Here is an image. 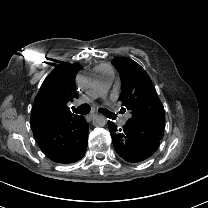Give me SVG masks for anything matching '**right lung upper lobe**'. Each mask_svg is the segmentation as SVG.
<instances>
[{
  "label": "right lung upper lobe",
  "instance_id": "right-lung-upper-lobe-1",
  "mask_svg": "<svg viewBox=\"0 0 208 208\" xmlns=\"http://www.w3.org/2000/svg\"><path fill=\"white\" fill-rule=\"evenodd\" d=\"M79 63L58 65L44 80L32 107L31 123L71 120L74 115L67 106L78 97L75 77L80 70Z\"/></svg>",
  "mask_w": 208,
  "mask_h": 208
}]
</instances>
